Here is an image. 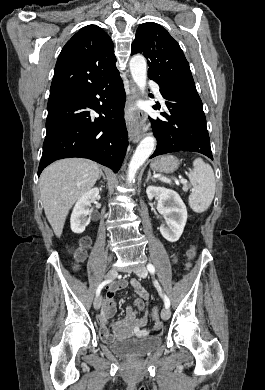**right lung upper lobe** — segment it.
Instances as JSON below:
<instances>
[{
  "label": "right lung upper lobe",
  "instance_id": "right-lung-upper-lobe-1",
  "mask_svg": "<svg viewBox=\"0 0 265 390\" xmlns=\"http://www.w3.org/2000/svg\"><path fill=\"white\" fill-rule=\"evenodd\" d=\"M115 62L108 34L96 25L81 28L59 54L49 98L90 86L117 70Z\"/></svg>",
  "mask_w": 265,
  "mask_h": 390
}]
</instances>
